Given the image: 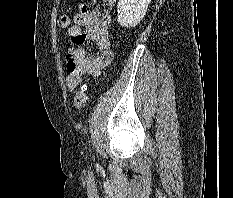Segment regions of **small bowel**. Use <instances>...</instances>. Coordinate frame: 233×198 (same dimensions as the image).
I'll list each match as a JSON object with an SVG mask.
<instances>
[{"instance_id": "1", "label": "small bowel", "mask_w": 233, "mask_h": 198, "mask_svg": "<svg viewBox=\"0 0 233 198\" xmlns=\"http://www.w3.org/2000/svg\"><path fill=\"white\" fill-rule=\"evenodd\" d=\"M116 0H103L107 7H111ZM112 17L110 13H98L82 6L73 17V25L68 27L71 46L67 50V65L69 74L65 82L69 91L75 90L81 82L83 75L98 76L112 61L110 49V26ZM96 43L97 52L87 54L82 47L86 41Z\"/></svg>"}]
</instances>
